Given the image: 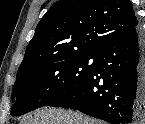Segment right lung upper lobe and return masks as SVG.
<instances>
[{"label":"right lung upper lobe","instance_id":"1","mask_svg":"<svg viewBox=\"0 0 145 124\" xmlns=\"http://www.w3.org/2000/svg\"><path fill=\"white\" fill-rule=\"evenodd\" d=\"M137 26L130 0H60L38 23L16 78L50 59L98 55Z\"/></svg>","mask_w":145,"mask_h":124}]
</instances>
